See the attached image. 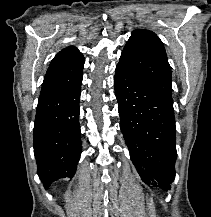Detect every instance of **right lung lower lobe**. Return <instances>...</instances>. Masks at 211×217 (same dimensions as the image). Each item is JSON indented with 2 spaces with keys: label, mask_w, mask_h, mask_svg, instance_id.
<instances>
[{
  "label": "right lung lower lobe",
  "mask_w": 211,
  "mask_h": 217,
  "mask_svg": "<svg viewBox=\"0 0 211 217\" xmlns=\"http://www.w3.org/2000/svg\"><path fill=\"white\" fill-rule=\"evenodd\" d=\"M83 73L71 84L39 97L34 123L37 174L48 188L73 177L81 154L79 100Z\"/></svg>",
  "instance_id": "98d812e1"
}]
</instances>
